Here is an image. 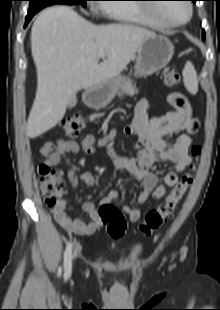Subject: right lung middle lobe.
<instances>
[{
	"mask_svg": "<svg viewBox=\"0 0 220 310\" xmlns=\"http://www.w3.org/2000/svg\"><path fill=\"white\" fill-rule=\"evenodd\" d=\"M29 1H30L29 11L36 13L42 8L53 4H68V5L81 4L82 6H85L87 0H29Z\"/></svg>",
	"mask_w": 220,
	"mask_h": 310,
	"instance_id": "right-lung-middle-lobe-1",
	"label": "right lung middle lobe"
}]
</instances>
